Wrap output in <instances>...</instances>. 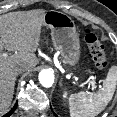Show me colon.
Returning a JSON list of instances; mask_svg holds the SVG:
<instances>
[{"instance_id": "colon-1", "label": "colon", "mask_w": 117, "mask_h": 117, "mask_svg": "<svg viewBox=\"0 0 117 117\" xmlns=\"http://www.w3.org/2000/svg\"><path fill=\"white\" fill-rule=\"evenodd\" d=\"M84 40L89 48V56L98 69H105L108 66L105 47L91 30H86Z\"/></svg>"}]
</instances>
